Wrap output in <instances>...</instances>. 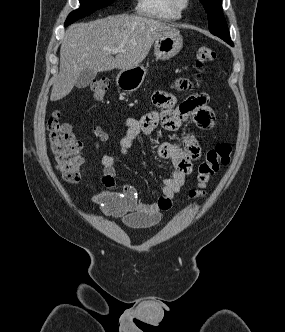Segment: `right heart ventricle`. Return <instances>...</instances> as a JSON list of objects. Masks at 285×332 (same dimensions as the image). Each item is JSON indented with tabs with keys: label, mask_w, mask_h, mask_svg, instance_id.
Segmentation results:
<instances>
[{
	"label": "right heart ventricle",
	"mask_w": 285,
	"mask_h": 332,
	"mask_svg": "<svg viewBox=\"0 0 285 332\" xmlns=\"http://www.w3.org/2000/svg\"><path fill=\"white\" fill-rule=\"evenodd\" d=\"M135 11L141 16L161 21L181 18V14L172 8L169 0H137Z\"/></svg>",
	"instance_id": "1"
}]
</instances>
